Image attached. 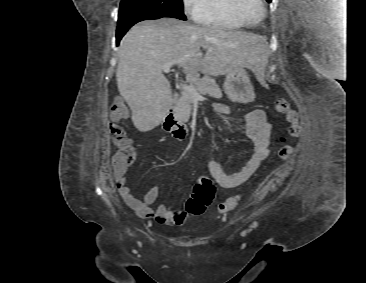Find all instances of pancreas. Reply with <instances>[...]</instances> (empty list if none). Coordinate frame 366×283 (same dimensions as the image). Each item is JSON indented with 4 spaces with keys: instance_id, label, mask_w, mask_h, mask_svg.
<instances>
[{
    "instance_id": "pancreas-1",
    "label": "pancreas",
    "mask_w": 366,
    "mask_h": 283,
    "mask_svg": "<svg viewBox=\"0 0 366 283\" xmlns=\"http://www.w3.org/2000/svg\"><path fill=\"white\" fill-rule=\"evenodd\" d=\"M190 84L194 85L196 88V92L200 95L208 94L213 98H221L222 92L214 79L209 76H205L203 78H199L196 75L190 77ZM194 95L190 92H182L181 97L177 103V113L179 118L183 122H187L191 115L192 110V102L194 100Z\"/></svg>"
}]
</instances>
